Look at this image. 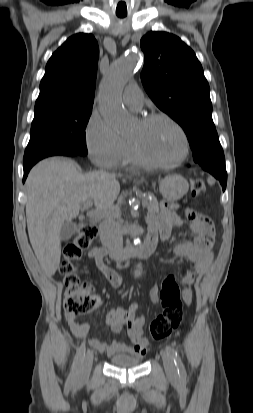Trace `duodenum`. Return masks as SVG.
<instances>
[{
    "label": "duodenum",
    "mask_w": 253,
    "mask_h": 413,
    "mask_svg": "<svg viewBox=\"0 0 253 413\" xmlns=\"http://www.w3.org/2000/svg\"><path fill=\"white\" fill-rule=\"evenodd\" d=\"M158 243V237L149 232L146 240L143 244L138 246H128L120 252L110 250L105 244L99 247V250L103 256L110 255L117 261H122L130 257L146 258L154 253Z\"/></svg>",
    "instance_id": "duodenum-1"
}]
</instances>
